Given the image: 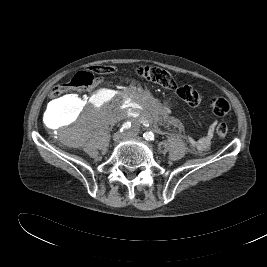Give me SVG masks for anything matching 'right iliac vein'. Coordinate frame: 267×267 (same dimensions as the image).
<instances>
[{
    "instance_id": "1",
    "label": "right iliac vein",
    "mask_w": 267,
    "mask_h": 267,
    "mask_svg": "<svg viewBox=\"0 0 267 267\" xmlns=\"http://www.w3.org/2000/svg\"><path fill=\"white\" fill-rule=\"evenodd\" d=\"M124 133H122V132H117V133H115L114 135H113V141L114 142H118V141H120L123 137H124Z\"/></svg>"
}]
</instances>
